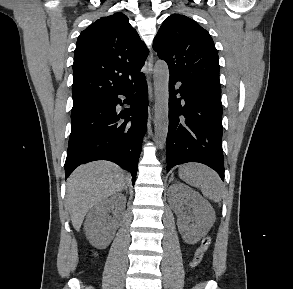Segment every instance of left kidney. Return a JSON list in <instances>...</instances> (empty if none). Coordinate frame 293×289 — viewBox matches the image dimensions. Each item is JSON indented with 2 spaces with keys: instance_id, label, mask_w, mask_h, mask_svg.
I'll use <instances>...</instances> for the list:
<instances>
[{
  "instance_id": "5707ae66",
  "label": "left kidney",
  "mask_w": 293,
  "mask_h": 289,
  "mask_svg": "<svg viewBox=\"0 0 293 289\" xmlns=\"http://www.w3.org/2000/svg\"><path fill=\"white\" fill-rule=\"evenodd\" d=\"M173 198L170 204L178 215L177 226L179 232L188 244L197 243L210 230L214 220L215 211L211 204L188 186L178 183L170 187ZM190 202L194 208V216L183 214V203ZM190 222H195L190 224Z\"/></svg>"
}]
</instances>
